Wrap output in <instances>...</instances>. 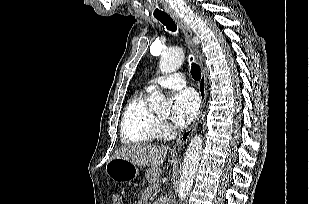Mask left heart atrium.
I'll return each instance as SVG.
<instances>
[{"instance_id": "left-heart-atrium-1", "label": "left heart atrium", "mask_w": 309, "mask_h": 204, "mask_svg": "<svg viewBox=\"0 0 309 204\" xmlns=\"http://www.w3.org/2000/svg\"><path fill=\"white\" fill-rule=\"evenodd\" d=\"M199 99L192 90H183L173 97L172 121L177 127H185L195 118Z\"/></svg>"}]
</instances>
